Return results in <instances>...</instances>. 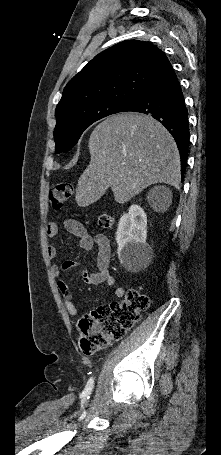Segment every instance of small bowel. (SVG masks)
<instances>
[{
    "label": "small bowel",
    "mask_w": 221,
    "mask_h": 455,
    "mask_svg": "<svg viewBox=\"0 0 221 455\" xmlns=\"http://www.w3.org/2000/svg\"><path fill=\"white\" fill-rule=\"evenodd\" d=\"M65 227L70 233L78 238L81 249L89 251L95 245L98 250L96 255V270L93 272L82 270V280L92 287H98L103 284L114 286L115 278L110 271L111 249L107 236L104 234H97L93 237L82 223L73 219L65 221ZM57 234L58 226L53 223L49 224L47 227V235L50 238H53L56 237ZM48 257L51 260H55L58 257V248L56 246L50 245L48 247ZM77 266L78 263L76 261H65L61 265H53L51 267L52 274L59 278L57 285L63 296L65 308L67 312L73 316L78 314V308L74 303L75 296L73 291L69 288L68 284L61 276L65 272ZM124 293L125 291L122 287H115L114 294L116 297L120 298L124 295Z\"/></svg>",
    "instance_id": "c3829d8e"
}]
</instances>
